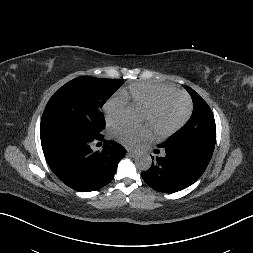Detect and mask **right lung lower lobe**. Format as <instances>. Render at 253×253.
<instances>
[{"label":"right lung lower lobe","instance_id":"right-lung-lower-lobe-1","mask_svg":"<svg viewBox=\"0 0 253 253\" xmlns=\"http://www.w3.org/2000/svg\"><path fill=\"white\" fill-rule=\"evenodd\" d=\"M90 138L65 131L41 133V145L51 170L67 186L79 192L98 190L108 184L126 150L114 141H104L103 149L94 152Z\"/></svg>","mask_w":253,"mask_h":253}]
</instances>
